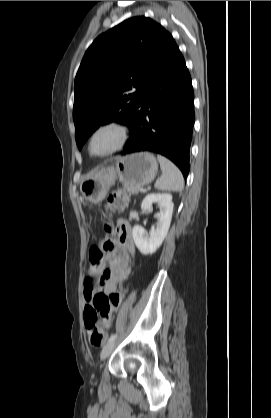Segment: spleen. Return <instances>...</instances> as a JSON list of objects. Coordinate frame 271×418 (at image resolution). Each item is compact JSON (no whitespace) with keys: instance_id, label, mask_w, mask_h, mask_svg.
I'll return each instance as SVG.
<instances>
[{"instance_id":"3e777b00","label":"spleen","mask_w":271,"mask_h":418,"mask_svg":"<svg viewBox=\"0 0 271 418\" xmlns=\"http://www.w3.org/2000/svg\"><path fill=\"white\" fill-rule=\"evenodd\" d=\"M162 176L156 181L155 188L162 191L181 192L184 178L179 168L164 156L158 155Z\"/></svg>"}]
</instances>
